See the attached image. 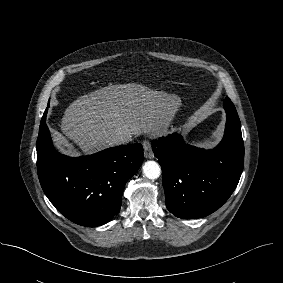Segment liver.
<instances>
[{"label": "liver", "instance_id": "obj_1", "mask_svg": "<svg viewBox=\"0 0 283 283\" xmlns=\"http://www.w3.org/2000/svg\"><path fill=\"white\" fill-rule=\"evenodd\" d=\"M181 106L176 94L141 84L109 85L79 97L65 110L61 130L84 154L113 146L119 134H163ZM59 141L72 146L59 136Z\"/></svg>", "mask_w": 283, "mask_h": 283}]
</instances>
